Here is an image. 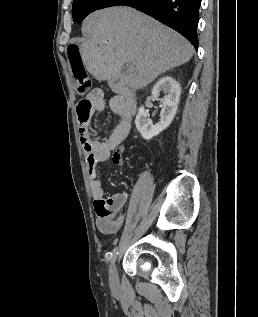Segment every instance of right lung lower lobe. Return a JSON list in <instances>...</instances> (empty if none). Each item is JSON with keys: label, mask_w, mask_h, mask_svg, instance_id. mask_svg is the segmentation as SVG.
<instances>
[{"label": "right lung lower lobe", "mask_w": 258, "mask_h": 317, "mask_svg": "<svg viewBox=\"0 0 258 317\" xmlns=\"http://www.w3.org/2000/svg\"><path fill=\"white\" fill-rule=\"evenodd\" d=\"M201 0H88L76 22L91 12L117 5L142 11L186 37L197 49V25Z\"/></svg>", "instance_id": "98d812e1"}]
</instances>
